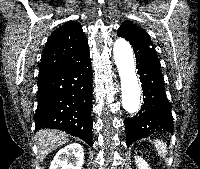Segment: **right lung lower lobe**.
I'll use <instances>...</instances> for the list:
<instances>
[{
    "instance_id": "right-lung-lower-lobe-1",
    "label": "right lung lower lobe",
    "mask_w": 200,
    "mask_h": 169,
    "mask_svg": "<svg viewBox=\"0 0 200 169\" xmlns=\"http://www.w3.org/2000/svg\"><path fill=\"white\" fill-rule=\"evenodd\" d=\"M35 129L63 130L92 145V68L89 51L72 65L40 74Z\"/></svg>"
}]
</instances>
